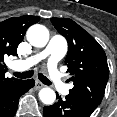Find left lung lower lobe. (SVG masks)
<instances>
[{"label":"left lung lower lobe","instance_id":"left-lung-lower-lobe-1","mask_svg":"<svg viewBox=\"0 0 117 117\" xmlns=\"http://www.w3.org/2000/svg\"><path fill=\"white\" fill-rule=\"evenodd\" d=\"M58 101L43 109L44 117H89L93 111L67 95L65 99L57 94Z\"/></svg>","mask_w":117,"mask_h":117}]
</instances>
